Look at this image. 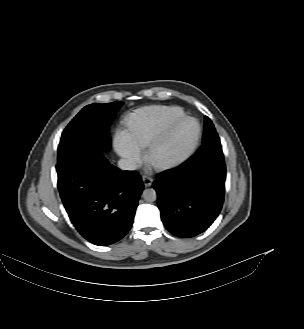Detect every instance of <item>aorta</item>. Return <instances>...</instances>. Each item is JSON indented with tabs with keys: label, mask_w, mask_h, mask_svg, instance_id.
I'll return each instance as SVG.
<instances>
[{
	"label": "aorta",
	"mask_w": 304,
	"mask_h": 329,
	"mask_svg": "<svg viewBox=\"0 0 304 329\" xmlns=\"http://www.w3.org/2000/svg\"><path fill=\"white\" fill-rule=\"evenodd\" d=\"M142 196L146 202H153L157 198L156 191L152 188L145 189Z\"/></svg>",
	"instance_id": "1"
}]
</instances>
